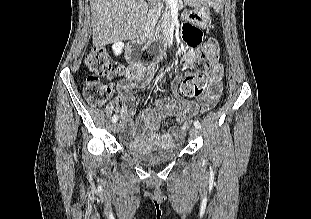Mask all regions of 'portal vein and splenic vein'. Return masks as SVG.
<instances>
[{
  "instance_id": "1",
  "label": "portal vein and splenic vein",
  "mask_w": 311,
  "mask_h": 219,
  "mask_svg": "<svg viewBox=\"0 0 311 219\" xmlns=\"http://www.w3.org/2000/svg\"><path fill=\"white\" fill-rule=\"evenodd\" d=\"M166 2L169 3L172 8L178 9V3L176 0H166Z\"/></svg>"
}]
</instances>
